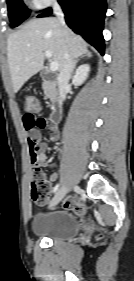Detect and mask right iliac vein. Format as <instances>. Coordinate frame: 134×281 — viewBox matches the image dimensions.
Returning a JSON list of instances; mask_svg holds the SVG:
<instances>
[{
	"mask_svg": "<svg viewBox=\"0 0 134 281\" xmlns=\"http://www.w3.org/2000/svg\"><path fill=\"white\" fill-rule=\"evenodd\" d=\"M67 191H68V186L67 185L62 186L56 192L55 196L53 197V199L49 205V208H54L62 200V198L66 195Z\"/></svg>",
	"mask_w": 134,
	"mask_h": 281,
	"instance_id": "63e3f726",
	"label": "right iliac vein"
}]
</instances>
